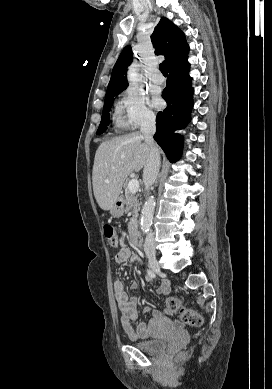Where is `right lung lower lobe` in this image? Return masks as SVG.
Returning <instances> with one entry per match:
<instances>
[{"label": "right lung lower lobe", "mask_w": 272, "mask_h": 389, "mask_svg": "<svg viewBox=\"0 0 272 389\" xmlns=\"http://www.w3.org/2000/svg\"><path fill=\"white\" fill-rule=\"evenodd\" d=\"M187 57L168 68L169 76L162 97L167 108L157 115L154 139L171 162L181 157L183 139L175 130L183 129L191 119L193 88Z\"/></svg>", "instance_id": "obj_1"}]
</instances>
